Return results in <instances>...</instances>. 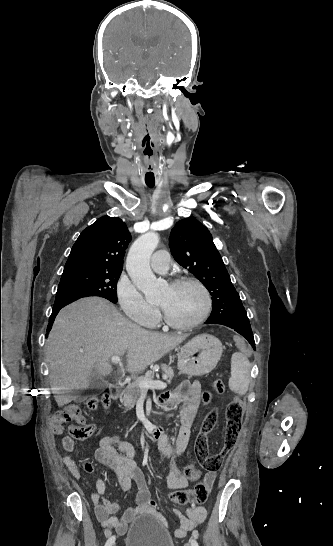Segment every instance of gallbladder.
Listing matches in <instances>:
<instances>
[{"label": "gallbladder", "instance_id": "obj_1", "mask_svg": "<svg viewBox=\"0 0 333 546\" xmlns=\"http://www.w3.org/2000/svg\"><path fill=\"white\" fill-rule=\"evenodd\" d=\"M107 381L97 375H93L92 378H91V382H90V385H89V392L90 393H94V392H98V391H103L106 387H107ZM84 399V398H83ZM76 401H81V398L79 397H76L75 398Z\"/></svg>", "mask_w": 333, "mask_h": 546}]
</instances>
